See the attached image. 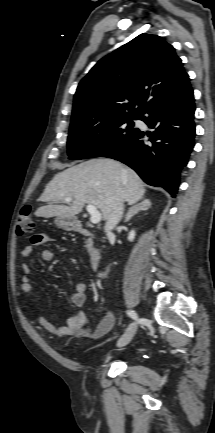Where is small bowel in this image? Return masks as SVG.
I'll list each match as a JSON object with an SVG mask.
<instances>
[{"instance_id":"c3829d8e","label":"small bowel","mask_w":215,"mask_h":433,"mask_svg":"<svg viewBox=\"0 0 215 433\" xmlns=\"http://www.w3.org/2000/svg\"><path fill=\"white\" fill-rule=\"evenodd\" d=\"M52 238L46 233H38L32 237L31 244L25 245L21 249V256L28 258L31 256L33 247L42 246L50 243ZM54 259V253L50 249H44L41 252V260L45 263L51 262ZM31 267L28 264L22 265V276L20 290L25 297H31L33 287L30 279ZM87 285L83 281L76 282L74 290L70 295V301L73 306L81 307L86 301ZM38 324L47 332L54 336L64 337L73 336L79 339L96 340L111 331L115 324V316L111 312H107L104 317L98 322L95 328H91L90 323L83 311H76L70 315L64 326L57 327L51 323L44 315L38 314Z\"/></svg>"}]
</instances>
